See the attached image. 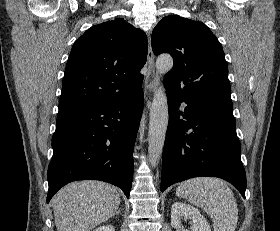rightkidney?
Returning <instances> with one entry per match:
<instances>
[{
	"instance_id": "obj_1",
	"label": "right kidney",
	"mask_w": 280,
	"mask_h": 231,
	"mask_svg": "<svg viewBox=\"0 0 280 231\" xmlns=\"http://www.w3.org/2000/svg\"><path fill=\"white\" fill-rule=\"evenodd\" d=\"M94 231H115L113 225H99Z\"/></svg>"
}]
</instances>
